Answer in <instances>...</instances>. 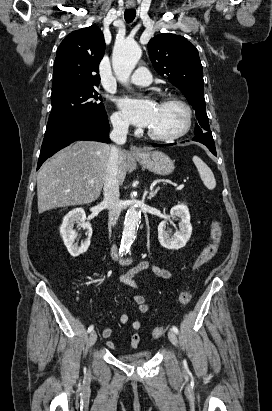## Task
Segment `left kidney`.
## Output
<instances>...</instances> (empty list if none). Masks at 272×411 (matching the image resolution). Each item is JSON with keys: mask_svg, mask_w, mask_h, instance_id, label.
<instances>
[{"mask_svg": "<svg viewBox=\"0 0 272 411\" xmlns=\"http://www.w3.org/2000/svg\"><path fill=\"white\" fill-rule=\"evenodd\" d=\"M170 215L173 219L178 218L180 220L179 230L172 236L171 231L166 230L168 220H164L158 226V239L163 247L178 250L184 247L191 237L190 213L185 204H178L171 208Z\"/></svg>", "mask_w": 272, "mask_h": 411, "instance_id": "5707ae66", "label": "left kidney"}]
</instances>
